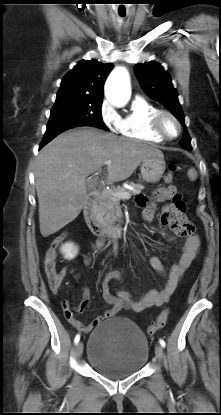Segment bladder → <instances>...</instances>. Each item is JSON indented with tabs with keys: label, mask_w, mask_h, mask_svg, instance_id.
<instances>
[{
	"label": "bladder",
	"mask_w": 221,
	"mask_h": 415,
	"mask_svg": "<svg viewBox=\"0 0 221 415\" xmlns=\"http://www.w3.org/2000/svg\"><path fill=\"white\" fill-rule=\"evenodd\" d=\"M149 357V344L142 330L131 320L115 317L90 333L87 360L99 374L121 379L140 371Z\"/></svg>",
	"instance_id": "1"
}]
</instances>
